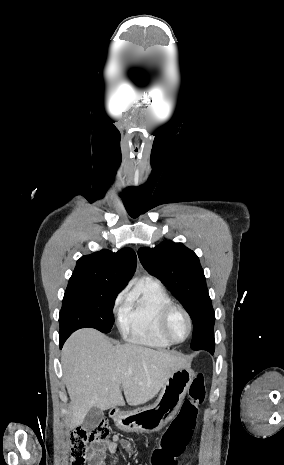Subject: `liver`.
Returning a JSON list of instances; mask_svg holds the SVG:
<instances>
[{
  "mask_svg": "<svg viewBox=\"0 0 284 465\" xmlns=\"http://www.w3.org/2000/svg\"><path fill=\"white\" fill-rule=\"evenodd\" d=\"M64 383L70 397L72 415L69 431L83 425L92 407L143 405L158 395L168 377L190 367L179 353L153 351L135 343L112 345L106 335L94 329L73 333L62 349Z\"/></svg>",
  "mask_w": 284,
  "mask_h": 465,
  "instance_id": "1",
  "label": "liver"
}]
</instances>
